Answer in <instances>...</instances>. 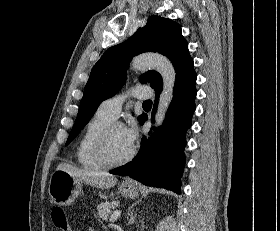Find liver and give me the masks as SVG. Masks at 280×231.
Here are the masks:
<instances>
[{
	"label": "liver",
	"mask_w": 280,
	"mask_h": 231,
	"mask_svg": "<svg viewBox=\"0 0 280 231\" xmlns=\"http://www.w3.org/2000/svg\"><path fill=\"white\" fill-rule=\"evenodd\" d=\"M56 169H63L67 171L74 179H81L93 187H102V189H109L117 183V177L115 175H106V173H99V171H88V169H79V167H73L70 163H60Z\"/></svg>",
	"instance_id": "6515ba94"
}]
</instances>
